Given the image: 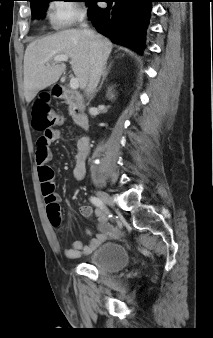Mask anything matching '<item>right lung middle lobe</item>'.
<instances>
[{"mask_svg":"<svg viewBox=\"0 0 213 338\" xmlns=\"http://www.w3.org/2000/svg\"><path fill=\"white\" fill-rule=\"evenodd\" d=\"M52 0H30V5H31V11L33 17H38V18H43L46 8L48 6V3ZM82 2H86L87 5H90V2L92 0H80Z\"/></svg>","mask_w":213,"mask_h":338,"instance_id":"1","label":"right lung middle lobe"}]
</instances>
